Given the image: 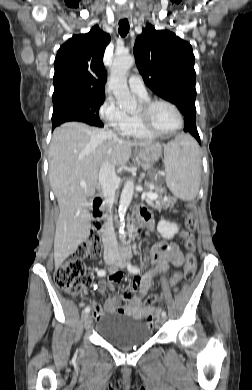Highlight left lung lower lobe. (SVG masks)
I'll use <instances>...</instances> for the list:
<instances>
[{"label":"left lung lower lobe","mask_w":252,"mask_h":390,"mask_svg":"<svg viewBox=\"0 0 252 390\" xmlns=\"http://www.w3.org/2000/svg\"><path fill=\"white\" fill-rule=\"evenodd\" d=\"M184 121H185L184 131L192 134L200 143V137L196 128V115L195 114L187 115L185 116Z\"/></svg>","instance_id":"1"}]
</instances>
